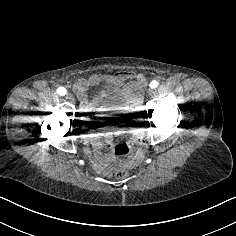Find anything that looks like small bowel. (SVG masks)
Instances as JSON below:
<instances>
[{
  "label": "small bowel",
  "mask_w": 236,
  "mask_h": 236,
  "mask_svg": "<svg viewBox=\"0 0 236 236\" xmlns=\"http://www.w3.org/2000/svg\"><path fill=\"white\" fill-rule=\"evenodd\" d=\"M133 82L121 85L127 81ZM100 83H110L117 86L108 94L110 103L99 104L97 100H90L87 90L90 86ZM144 78L133 72L119 73L113 76L96 73L89 78L77 81L75 89L80 100L82 118L88 122L93 114H104L110 111L130 114L128 124L111 128L101 132H89L84 140L91 144L93 151L91 160L95 168L108 174L115 166H134L144 158L146 144L141 123L137 119L138 107L142 102ZM129 137L128 141L114 143L116 137ZM107 149V152L103 150Z\"/></svg>",
  "instance_id": "c3829d8e"
}]
</instances>
